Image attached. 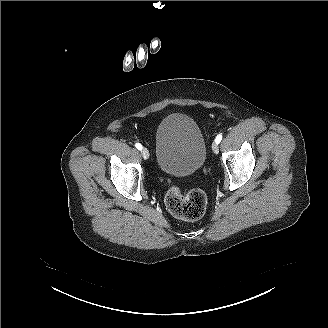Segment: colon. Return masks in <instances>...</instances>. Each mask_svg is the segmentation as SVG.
Returning a JSON list of instances; mask_svg holds the SVG:
<instances>
[{
    "label": "colon",
    "mask_w": 328,
    "mask_h": 328,
    "mask_svg": "<svg viewBox=\"0 0 328 328\" xmlns=\"http://www.w3.org/2000/svg\"><path fill=\"white\" fill-rule=\"evenodd\" d=\"M168 211L176 218L194 221L200 219L207 208L206 194L198 188L183 191L172 186L165 195Z\"/></svg>",
    "instance_id": "colon-1"
}]
</instances>
